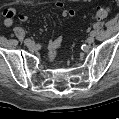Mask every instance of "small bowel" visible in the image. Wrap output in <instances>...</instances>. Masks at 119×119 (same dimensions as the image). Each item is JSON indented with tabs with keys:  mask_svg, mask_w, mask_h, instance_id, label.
<instances>
[{
	"mask_svg": "<svg viewBox=\"0 0 119 119\" xmlns=\"http://www.w3.org/2000/svg\"><path fill=\"white\" fill-rule=\"evenodd\" d=\"M55 7L57 9L62 10V15L67 18H73L75 15V12L72 9H64V3L61 1L55 2ZM16 11L13 8H8L4 10V25L7 27H10L13 24V17L15 16ZM20 21L22 22H28V17L26 15H21L19 17ZM63 41L62 36H58L54 39H50L48 43V47L50 50L49 60L52 61L57 50L61 47Z\"/></svg>",
	"mask_w": 119,
	"mask_h": 119,
	"instance_id": "small-bowel-1",
	"label": "small bowel"
}]
</instances>
